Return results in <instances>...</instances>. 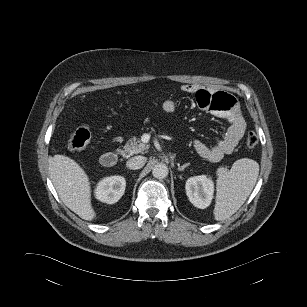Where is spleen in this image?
I'll return each instance as SVG.
<instances>
[{
    "label": "spleen",
    "instance_id": "3e777b00",
    "mask_svg": "<svg viewBox=\"0 0 307 307\" xmlns=\"http://www.w3.org/2000/svg\"><path fill=\"white\" fill-rule=\"evenodd\" d=\"M258 174L259 164L248 158L235 161L230 170H217L215 220H226L239 210L252 192Z\"/></svg>",
    "mask_w": 307,
    "mask_h": 307
}]
</instances>
